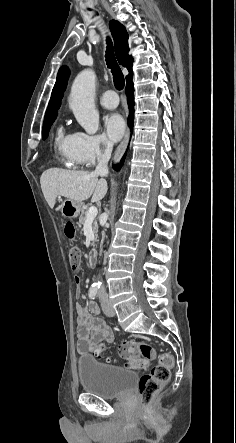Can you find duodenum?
<instances>
[{"instance_id": "1", "label": "duodenum", "mask_w": 236, "mask_h": 443, "mask_svg": "<svg viewBox=\"0 0 236 443\" xmlns=\"http://www.w3.org/2000/svg\"><path fill=\"white\" fill-rule=\"evenodd\" d=\"M88 259L90 265H94L96 263V255L94 253H90Z\"/></svg>"}]
</instances>
